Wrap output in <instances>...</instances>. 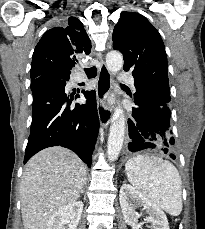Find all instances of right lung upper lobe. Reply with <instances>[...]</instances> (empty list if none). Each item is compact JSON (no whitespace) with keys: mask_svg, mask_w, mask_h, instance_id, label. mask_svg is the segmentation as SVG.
<instances>
[{"mask_svg":"<svg viewBox=\"0 0 205 229\" xmlns=\"http://www.w3.org/2000/svg\"><path fill=\"white\" fill-rule=\"evenodd\" d=\"M91 41L82 22L69 17L63 27H54L44 33L36 45L31 63V80L53 73L68 76L78 62L79 55L89 54Z\"/></svg>","mask_w":205,"mask_h":229,"instance_id":"cb5924a9","label":"right lung upper lobe"}]
</instances>
